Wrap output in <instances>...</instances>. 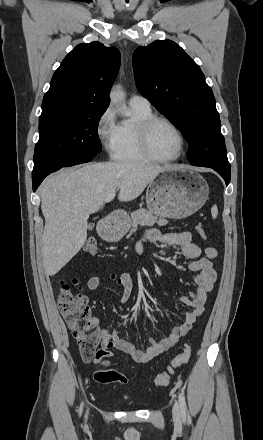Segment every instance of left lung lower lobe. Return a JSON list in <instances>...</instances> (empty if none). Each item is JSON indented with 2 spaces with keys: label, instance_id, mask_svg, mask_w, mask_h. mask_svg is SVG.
Here are the masks:
<instances>
[{
  "label": "left lung lower lobe",
  "instance_id": "1",
  "mask_svg": "<svg viewBox=\"0 0 263 440\" xmlns=\"http://www.w3.org/2000/svg\"><path fill=\"white\" fill-rule=\"evenodd\" d=\"M204 167H207V166H204ZM209 168H212L216 172H218L225 180L226 185L229 184V182H230V168H228V169H222V168H216V167H209Z\"/></svg>",
  "mask_w": 263,
  "mask_h": 440
}]
</instances>
